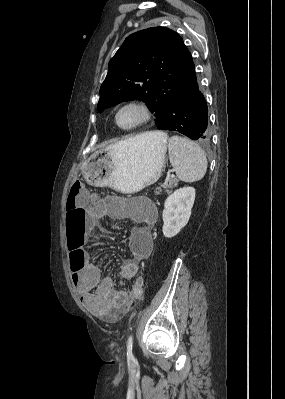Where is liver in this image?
Listing matches in <instances>:
<instances>
[{
    "instance_id": "obj_1",
    "label": "liver",
    "mask_w": 285,
    "mask_h": 399,
    "mask_svg": "<svg viewBox=\"0 0 285 399\" xmlns=\"http://www.w3.org/2000/svg\"><path fill=\"white\" fill-rule=\"evenodd\" d=\"M141 136H146V137L154 139L157 136V132H147V133L141 134Z\"/></svg>"
}]
</instances>
